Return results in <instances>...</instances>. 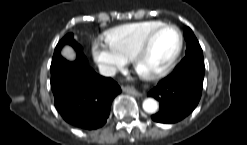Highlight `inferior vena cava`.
<instances>
[{
	"label": "inferior vena cava",
	"instance_id": "inferior-vena-cava-1",
	"mask_svg": "<svg viewBox=\"0 0 247 145\" xmlns=\"http://www.w3.org/2000/svg\"><path fill=\"white\" fill-rule=\"evenodd\" d=\"M116 68L111 65L100 64L99 72L103 76L112 77L116 74Z\"/></svg>",
	"mask_w": 247,
	"mask_h": 145
}]
</instances>
